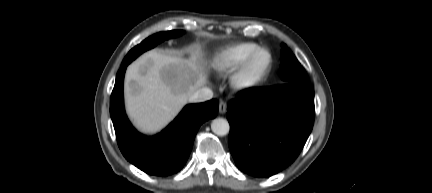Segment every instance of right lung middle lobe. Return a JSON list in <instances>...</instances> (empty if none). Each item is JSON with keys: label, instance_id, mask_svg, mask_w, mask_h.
<instances>
[{"label": "right lung middle lobe", "instance_id": "right-lung-middle-lobe-1", "mask_svg": "<svg viewBox=\"0 0 432 193\" xmlns=\"http://www.w3.org/2000/svg\"><path fill=\"white\" fill-rule=\"evenodd\" d=\"M181 34H183L182 30H173V31H167V32H160V33H157L155 35L150 36L149 38H147L143 42H141L139 45H137L133 49H131L129 51V53L126 55V57L124 58L122 64H129L130 62H132L135 58H137L144 51L155 47L158 43H160L166 39L177 37Z\"/></svg>", "mask_w": 432, "mask_h": 193}]
</instances>
